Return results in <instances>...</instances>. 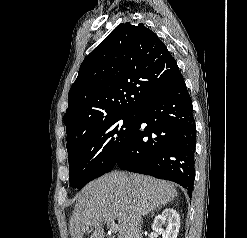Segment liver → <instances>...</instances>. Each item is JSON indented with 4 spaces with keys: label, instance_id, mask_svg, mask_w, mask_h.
Masks as SVG:
<instances>
[{
    "label": "liver",
    "instance_id": "6515ba94",
    "mask_svg": "<svg viewBox=\"0 0 247 238\" xmlns=\"http://www.w3.org/2000/svg\"><path fill=\"white\" fill-rule=\"evenodd\" d=\"M167 181L121 171L107 173L88 183L78 194L70 221L71 238H104V221L117 220L118 238H141L142 217L177 197Z\"/></svg>",
    "mask_w": 247,
    "mask_h": 238
}]
</instances>
